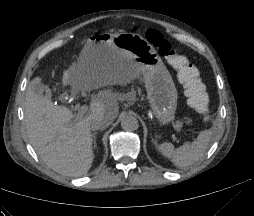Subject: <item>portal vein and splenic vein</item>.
<instances>
[{"label":"portal vein and splenic vein","mask_w":254,"mask_h":216,"mask_svg":"<svg viewBox=\"0 0 254 216\" xmlns=\"http://www.w3.org/2000/svg\"><path fill=\"white\" fill-rule=\"evenodd\" d=\"M88 111V107L86 105L84 106H81L78 110V113H77V117L78 118H82L86 112ZM175 126L178 128V129H182V125L178 122L175 123Z\"/></svg>","instance_id":"portal-vein-and-splenic-vein-1"}]
</instances>
